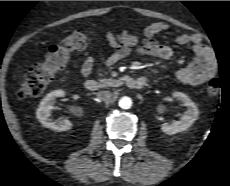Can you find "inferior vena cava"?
<instances>
[{
	"label": "inferior vena cava",
	"instance_id": "602c4592",
	"mask_svg": "<svg viewBox=\"0 0 230 186\" xmlns=\"http://www.w3.org/2000/svg\"><path fill=\"white\" fill-rule=\"evenodd\" d=\"M97 97H98L100 100H102V101L108 103V102H110L111 99H112V94H111V92H109V91H100V92L97 93Z\"/></svg>",
	"mask_w": 230,
	"mask_h": 186
}]
</instances>
